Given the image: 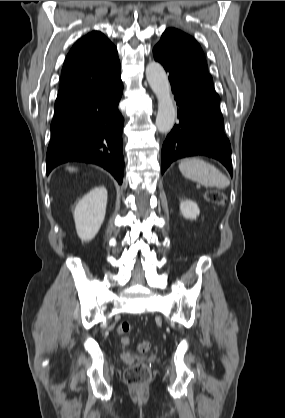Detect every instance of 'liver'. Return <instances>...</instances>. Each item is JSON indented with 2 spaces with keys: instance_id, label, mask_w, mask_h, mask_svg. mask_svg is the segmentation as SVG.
<instances>
[{
  "instance_id": "1",
  "label": "liver",
  "mask_w": 285,
  "mask_h": 418,
  "mask_svg": "<svg viewBox=\"0 0 285 418\" xmlns=\"http://www.w3.org/2000/svg\"><path fill=\"white\" fill-rule=\"evenodd\" d=\"M69 171H71V172H73V171H75L76 169L75 168H71V167H68L67 168Z\"/></svg>"
}]
</instances>
